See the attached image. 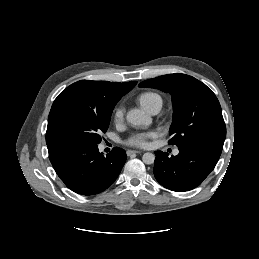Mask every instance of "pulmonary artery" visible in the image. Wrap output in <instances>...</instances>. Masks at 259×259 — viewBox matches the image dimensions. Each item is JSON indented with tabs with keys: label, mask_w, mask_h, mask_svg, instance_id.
<instances>
[{
	"label": "pulmonary artery",
	"mask_w": 259,
	"mask_h": 259,
	"mask_svg": "<svg viewBox=\"0 0 259 259\" xmlns=\"http://www.w3.org/2000/svg\"><path fill=\"white\" fill-rule=\"evenodd\" d=\"M158 112H159V110H158V109H153V110H151L149 113H150V114H152V115H155V114H157ZM178 152H179L178 150H175V152H174V153L177 155V154H178Z\"/></svg>",
	"instance_id": "1"
}]
</instances>
